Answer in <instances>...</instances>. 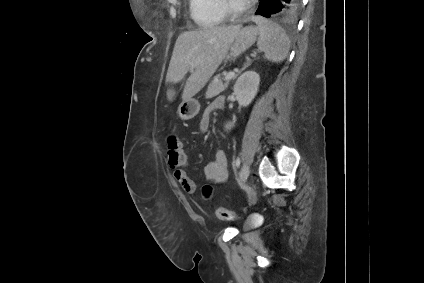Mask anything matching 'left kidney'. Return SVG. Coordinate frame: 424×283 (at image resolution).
<instances>
[{
    "label": "left kidney",
    "mask_w": 424,
    "mask_h": 283,
    "mask_svg": "<svg viewBox=\"0 0 424 283\" xmlns=\"http://www.w3.org/2000/svg\"><path fill=\"white\" fill-rule=\"evenodd\" d=\"M260 84V77L254 71H246L236 81L234 85V94L240 105L247 107L255 98ZM233 124L228 122L225 125L227 130L232 128Z\"/></svg>",
    "instance_id": "5707ae66"
}]
</instances>
